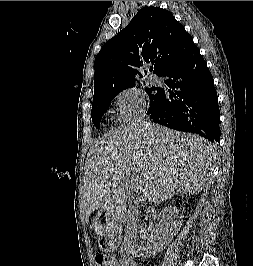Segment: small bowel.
Instances as JSON below:
<instances>
[{"label":"small bowel","instance_id":"obj_1","mask_svg":"<svg viewBox=\"0 0 253 266\" xmlns=\"http://www.w3.org/2000/svg\"><path fill=\"white\" fill-rule=\"evenodd\" d=\"M116 266H137V264L133 261L130 263L129 261H126L125 259H122L120 263L116 261Z\"/></svg>","mask_w":253,"mask_h":266}]
</instances>
